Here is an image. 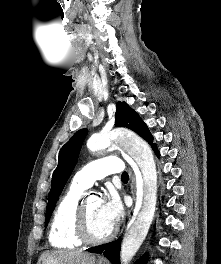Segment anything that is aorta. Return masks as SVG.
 I'll return each mask as SVG.
<instances>
[{"label":"aorta","instance_id":"762f6f07","mask_svg":"<svg viewBox=\"0 0 221 264\" xmlns=\"http://www.w3.org/2000/svg\"><path fill=\"white\" fill-rule=\"evenodd\" d=\"M111 134H98L91 137L88 146L91 149L105 150L111 146ZM116 140L140 169L137 180V195L142 201L140 210L132 218L124 235L121 247V264H129L142 245L153 221L157 201V172L153 153L142 139L119 134Z\"/></svg>","mask_w":221,"mask_h":264}]
</instances>
